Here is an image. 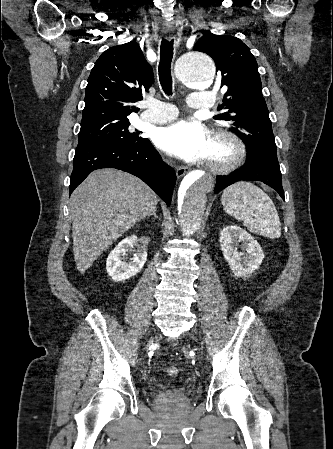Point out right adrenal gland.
I'll use <instances>...</instances> for the list:
<instances>
[{"mask_svg": "<svg viewBox=\"0 0 333 449\" xmlns=\"http://www.w3.org/2000/svg\"><path fill=\"white\" fill-rule=\"evenodd\" d=\"M154 216L155 218H159L158 216H157V214H156V209L152 212V214H150L148 217H150V216Z\"/></svg>", "mask_w": 333, "mask_h": 449, "instance_id": "2a0ac1e0", "label": "right adrenal gland"}]
</instances>
